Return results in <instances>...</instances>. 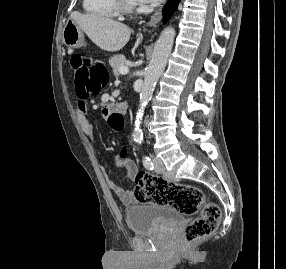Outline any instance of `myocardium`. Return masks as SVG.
I'll return each mask as SVG.
<instances>
[{
    "label": "myocardium",
    "mask_w": 286,
    "mask_h": 269,
    "mask_svg": "<svg viewBox=\"0 0 286 269\" xmlns=\"http://www.w3.org/2000/svg\"><path fill=\"white\" fill-rule=\"evenodd\" d=\"M113 3L118 13L130 14L137 8L136 3L129 0H113Z\"/></svg>",
    "instance_id": "obj_1"
}]
</instances>
